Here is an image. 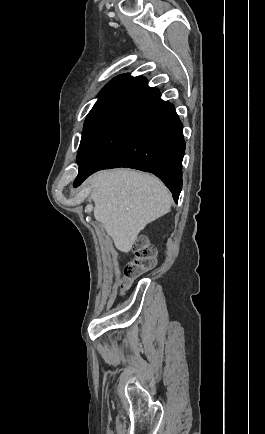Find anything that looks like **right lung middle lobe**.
I'll list each match as a JSON object with an SVG mask.
<instances>
[{"instance_id":"obj_1","label":"right lung middle lobe","mask_w":265,"mask_h":434,"mask_svg":"<svg viewBox=\"0 0 265 434\" xmlns=\"http://www.w3.org/2000/svg\"><path fill=\"white\" fill-rule=\"evenodd\" d=\"M131 79L132 77L129 76L116 77L110 81L100 92L99 99L89 112L84 123V131L82 133L77 156L78 164H80V162L86 156L88 149L96 137L100 127L104 123L113 105Z\"/></svg>"}]
</instances>
